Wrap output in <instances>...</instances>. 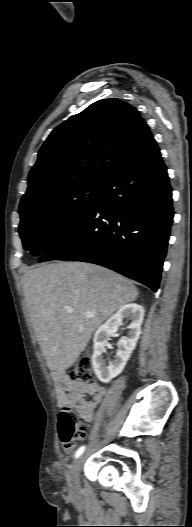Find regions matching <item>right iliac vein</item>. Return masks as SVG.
<instances>
[{
    "label": "right iliac vein",
    "mask_w": 192,
    "mask_h": 527,
    "mask_svg": "<svg viewBox=\"0 0 192 527\" xmlns=\"http://www.w3.org/2000/svg\"><path fill=\"white\" fill-rule=\"evenodd\" d=\"M83 460L84 457L82 456L79 457L76 461H74L68 473L69 487L73 492H76L79 488V472Z\"/></svg>",
    "instance_id": "obj_1"
}]
</instances>
